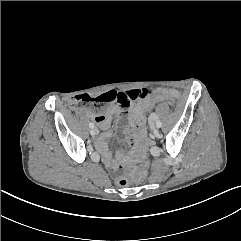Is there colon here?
<instances>
[{
    "label": "colon",
    "instance_id": "1",
    "mask_svg": "<svg viewBox=\"0 0 241 241\" xmlns=\"http://www.w3.org/2000/svg\"><path fill=\"white\" fill-rule=\"evenodd\" d=\"M115 103L120 108V116L123 119L126 109L129 105L128 95H116L114 93H105L99 96H89V95H78L71 98L68 103V110L72 114H78L83 111L100 112L105 109V107L110 104ZM161 104H168L172 110L177 108L176 99L173 97L162 96L159 98L152 99L144 108L143 114L149 115L153 113L157 107ZM142 148L147 150L150 148V143L145 141L142 143ZM117 183L120 186L127 184L124 178H118Z\"/></svg>",
    "mask_w": 241,
    "mask_h": 241
}]
</instances>
